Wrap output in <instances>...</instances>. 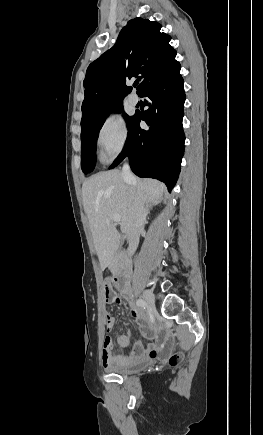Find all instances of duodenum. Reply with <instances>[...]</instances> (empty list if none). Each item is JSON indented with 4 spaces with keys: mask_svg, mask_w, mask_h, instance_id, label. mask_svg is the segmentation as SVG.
Returning a JSON list of instances; mask_svg holds the SVG:
<instances>
[{
    "mask_svg": "<svg viewBox=\"0 0 263 435\" xmlns=\"http://www.w3.org/2000/svg\"><path fill=\"white\" fill-rule=\"evenodd\" d=\"M116 284L124 293L129 294V264L128 256L124 252H118L116 255Z\"/></svg>",
    "mask_w": 263,
    "mask_h": 435,
    "instance_id": "410a0bca",
    "label": "duodenum"
}]
</instances>
